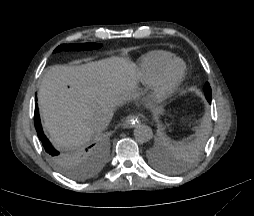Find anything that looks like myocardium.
Segmentation results:
<instances>
[{"instance_id": "myocardium-1", "label": "myocardium", "mask_w": 254, "mask_h": 216, "mask_svg": "<svg viewBox=\"0 0 254 216\" xmlns=\"http://www.w3.org/2000/svg\"><path fill=\"white\" fill-rule=\"evenodd\" d=\"M177 66L175 73L171 69ZM186 73V64L180 58H171L159 70L152 83L149 99L155 104H164L177 86L181 83Z\"/></svg>"}]
</instances>
